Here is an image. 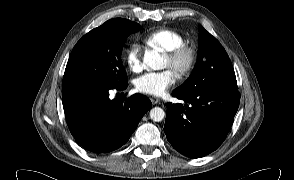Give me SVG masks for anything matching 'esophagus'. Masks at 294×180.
<instances>
[{
  "label": "esophagus",
  "mask_w": 294,
  "mask_h": 180,
  "mask_svg": "<svg viewBox=\"0 0 294 180\" xmlns=\"http://www.w3.org/2000/svg\"><path fill=\"white\" fill-rule=\"evenodd\" d=\"M151 102H152V104H158V103H160V99H158L156 97H152Z\"/></svg>",
  "instance_id": "1"
}]
</instances>
